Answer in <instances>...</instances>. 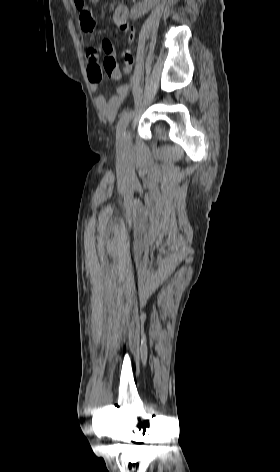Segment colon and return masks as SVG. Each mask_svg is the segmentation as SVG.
Segmentation results:
<instances>
[{
	"label": "colon",
	"instance_id": "colon-1",
	"mask_svg": "<svg viewBox=\"0 0 280 472\" xmlns=\"http://www.w3.org/2000/svg\"><path fill=\"white\" fill-rule=\"evenodd\" d=\"M124 59L127 64H132L133 62V57L132 55L126 51L124 53ZM103 68L106 73V75L113 80H118L121 78V72L118 68L117 62L112 60V59H105L103 62Z\"/></svg>",
	"mask_w": 280,
	"mask_h": 472
}]
</instances>
